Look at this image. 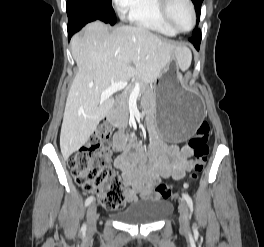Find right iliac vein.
<instances>
[{
    "label": "right iliac vein",
    "instance_id": "1",
    "mask_svg": "<svg viewBox=\"0 0 264 247\" xmlns=\"http://www.w3.org/2000/svg\"><path fill=\"white\" fill-rule=\"evenodd\" d=\"M97 221V208L96 204L92 203L87 210V223H88V232H93L96 228Z\"/></svg>",
    "mask_w": 264,
    "mask_h": 247
}]
</instances>
